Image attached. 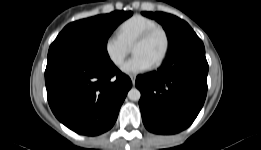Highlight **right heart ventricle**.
<instances>
[{"mask_svg": "<svg viewBox=\"0 0 261 150\" xmlns=\"http://www.w3.org/2000/svg\"><path fill=\"white\" fill-rule=\"evenodd\" d=\"M158 22L152 18L136 14L124 20L117 28V35L123 42L132 47L135 40L146 30L158 26Z\"/></svg>", "mask_w": 261, "mask_h": 150, "instance_id": "obj_1", "label": "right heart ventricle"}]
</instances>
